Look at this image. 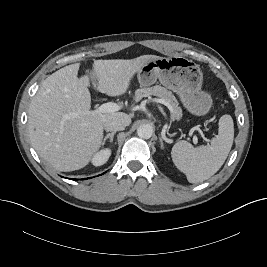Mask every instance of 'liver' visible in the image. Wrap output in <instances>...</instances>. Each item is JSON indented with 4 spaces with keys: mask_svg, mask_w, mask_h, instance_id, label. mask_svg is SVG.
<instances>
[{
    "mask_svg": "<svg viewBox=\"0 0 267 267\" xmlns=\"http://www.w3.org/2000/svg\"><path fill=\"white\" fill-rule=\"evenodd\" d=\"M155 57L94 61L97 90L108 96L125 94L135 73ZM79 67L72 64L48 76L28 111L32 146L43 160L63 172L81 169L90 162L101 147L107 120L118 118L131 123L123 112L92 113L88 80L78 78Z\"/></svg>",
    "mask_w": 267,
    "mask_h": 267,
    "instance_id": "1",
    "label": "liver"
}]
</instances>
